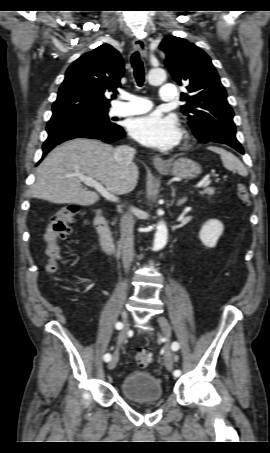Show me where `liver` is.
<instances>
[{
  "mask_svg": "<svg viewBox=\"0 0 270 453\" xmlns=\"http://www.w3.org/2000/svg\"><path fill=\"white\" fill-rule=\"evenodd\" d=\"M113 153L112 146L99 140L77 138L65 142L38 166L30 196L54 204H95L99 195L84 188L75 174L101 182L112 194L132 192L138 181V167L134 163L121 167Z\"/></svg>",
  "mask_w": 270,
  "mask_h": 453,
  "instance_id": "1",
  "label": "liver"
}]
</instances>
